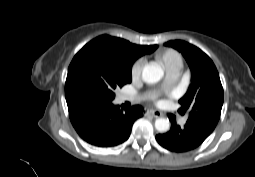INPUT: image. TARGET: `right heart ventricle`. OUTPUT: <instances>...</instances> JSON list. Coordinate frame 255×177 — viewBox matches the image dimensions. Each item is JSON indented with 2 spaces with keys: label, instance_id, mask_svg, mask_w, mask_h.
I'll return each instance as SVG.
<instances>
[{
  "label": "right heart ventricle",
  "instance_id": "1",
  "mask_svg": "<svg viewBox=\"0 0 255 177\" xmlns=\"http://www.w3.org/2000/svg\"><path fill=\"white\" fill-rule=\"evenodd\" d=\"M167 74L178 75L184 66V60L179 51L173 48H164L156 53Z\"/></svg>",
  "mask_w": 255,
  "mask_h": 177
}]
</instances>
